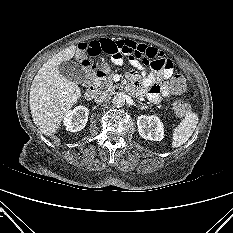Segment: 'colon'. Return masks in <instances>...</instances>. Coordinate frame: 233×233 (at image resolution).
<instances>
[{
  "mask_svg": "<svg viewBox=\"0 0 233 233\" xmlns=\"http://www.w3.org/2000/svg\"><path fill=\"white\" fill-rule=\"evenodd\" d=\"M83 64L86 66L88 65L85 63H83ZM170 86H171V90L174 93L183 94L186 91V87H187L186 80H185L184 76H182L181 74L175 75L171 79ZM173 110L178 117H183L189 112L190 107L185 101L176 100L173 103Z\"/></svg>",
  "mask_w": 233,
  "mask_h": 233,
  "instance_id": "colon-1",
  "label": "colon"
}]
</instances>
